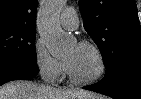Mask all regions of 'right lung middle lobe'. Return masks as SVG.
<instances>
[{
    "mask_svg": "<svg viewBox=\"0 0 141 99\" xmlns=\"http://www.w3.org/2000/svg\"><path fill=\"white\" fill-rule=\"evenodd\" d=\"M35 36V27L0 26V65H37Z\"/></svg>",
    "mask_w": 141,
    "mask_h": 99,
    "instance_id": "right-lung-middle-lobe-1",
    "label": "right lung middle lobe"
}]
</instances>
